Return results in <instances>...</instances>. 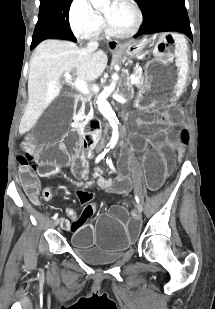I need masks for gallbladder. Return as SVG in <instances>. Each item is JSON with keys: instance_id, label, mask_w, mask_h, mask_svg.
I'll use <instances>...</instances> for the list:
<instances>
[{"instance_id": "1", "label": "gallbladder", "mask_w": 215, "mask_h": 309, "mask_svg": "<svg viewBox=\"0 0 215 309\" xmlns=\"http://www.w3.org/2000/svg\"><path fill=\"white\" fill-rule=\"evenodd\" d=\"M47 108L40 115L32 131L37 144H43V146L55 144L59 136H65L66 125H69V118L73 116L75 96L61 94L60 98L54 99V103H48Z\"/></svg>"}]
</instances>
